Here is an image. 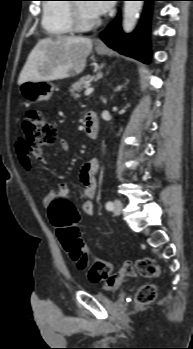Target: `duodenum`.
<instances>
[{
  "instance_id": "410a0bca",
  "label": "duodenum",
  "mask_w": 193,
  "mask_h": 349,
  "mask_svg": "<svg viewBox=\"0 0 193 349\" xmlns=\"http://www.w3.org/2000/svg\"><path fill=\"white\" fill-rule=\"evenodd\" d=\"M98 119L95 113H87L85 117V132L90 139L97 137Z\"/></svg>"
}]
</instances>
